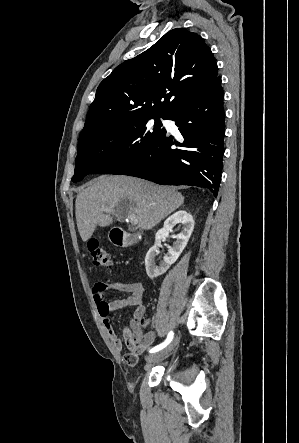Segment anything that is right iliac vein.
<instances>
[{
  "label": "right iliac vein",
  "instance_id": "63e3f726",
  "mask_svg": "<svg viewBox=\"0 0 299 443\" xmlns=\"http://www.w3.org/2000/svg\"><path fill=\"white\" fill-rule=\"evenodd\" d=\"M176 344H177V340L172 341L167 347H165L161 351L148 355L146 357V361L149 363H152V362H155V361L165 357L175 348Z\"/></svg>",
  "mask_w": 299,
  "mask_h": 443
}]
</instances>
